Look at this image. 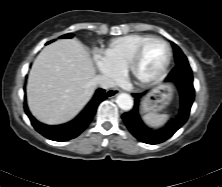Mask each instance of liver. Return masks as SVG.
I'll use <instances>...</instances> for the list:
<instances>
[{
	"label": "liver",
	"mask_w": 222,
	"mask_h": 187,
	"mask_svg": "<svg viewBox=\"0 0 222 187\" xmlns=\"http://www.w3.org/2000/svg\"><path fill=\"white\" fill-rule=\"evenodd\" d=\"M96 70L88 50L76 39L46 46L29 73L27 100L32 114L46 124L74 118L89 102Z\"/></svg>",
	"instance_id": "obj_1"
}]
</instances>
